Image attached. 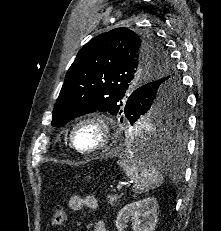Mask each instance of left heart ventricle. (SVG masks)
<instances>
[{"label":"left heart ventricle","instance_id":"obj_1","mask_svg":"<svg viewBox=\"0 0 221 231\" xmlns=\"http://www.w3.org/2000/svg\"><path fill=\"white\" fill-rule=\"evenodd\" d=\"M101 141L100 128L95 124H85L76 133V144L83 150L97 146Z\"/></svg>","mask_w":221,"mask_h":231}]
</instances>
